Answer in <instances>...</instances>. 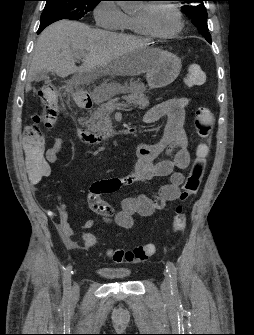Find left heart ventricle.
I'll return each instance as SVG.
<instances>
[{"label":"left heart ventricle","mask_w":254,"mask_h":335,"mask_svg":"<svg viewBox=\"0 0 254 335\" xmlns=\"http://www.w3.org/2000/svg\"><path fill=\"white\" fill-rule=\"evenodd\" d=\"M135 16L145 20L152 30L159 33H169L177 26L175 13L166 5H155L152 8L141 5Z\"/></svg>","instance_id":"b2bd125f"}]
</instances>
